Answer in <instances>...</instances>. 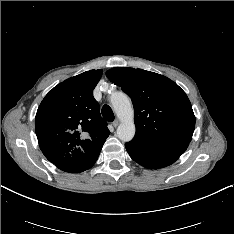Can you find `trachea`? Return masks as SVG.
<instances>
[{
  "instance_id": "1",
  "label": "trachea",
  "mask_w": 234,
  "mask_h": 234,
  "mask_svg": "<svg viewBox=\"0 0 234 234\" xmlns=\"http://www.w3.org/2000/svg\"><path fill=\"white\" fill-rule=\"evenodd\" d=\"M101 112H102V116H103L107 121L112 122V121L115 119L114 113H113V111H112V109H111L110 106L104 105V106L102 107V111H101Z\"/></svg>"
}]
</instances>
